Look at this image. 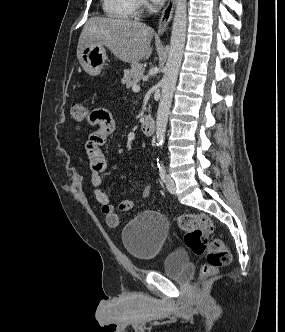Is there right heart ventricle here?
Wrapping results in <instances>:
<instances>
[{
	"label": "right heart ventricle",
	"instance_id": "obj_1",
	"mask_svg": "<svg viewBox=\"0 0 285 332\" xmlns=\"http://www.w3.org/2000/svg\"><path fill=\"white\" fill-rule=\"evenodd\" d=\"M105 15L116 20H132L138 15L139 0H101Z\"/></svg>",
	"mask_w": 285,
	"mask_h": 332
}]
</instances>
